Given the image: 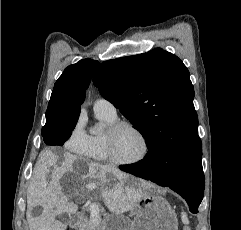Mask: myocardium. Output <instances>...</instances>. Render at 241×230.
I'll use <instances>...</instances> for the list:
<instances>
[{
    "label": "myocardium",
    "mask_w": 241,
    "mask_h": 230,
    "mask_svg": "<svg viewBox=\"0 0 241 230\" xmlns=\"http://www.w3.org/2000/svg\"><path fill=\"white\" fill-rule=\"evenodd\" d=\"M122 128H129L133 130L142 140L143 151L141 155L136 159L125 161V160L118 159L115 155L114 138L116 134L119 132V130H121ZM104 144H105V151L109 161L118 166H130V165L138 164L147 157L150 150L149 142L144 132L135 124L129 121H115L114 123L109 125L106 133L104 134Z\"/></svg>",
    "instance_id": "1"
}]
</instances>
